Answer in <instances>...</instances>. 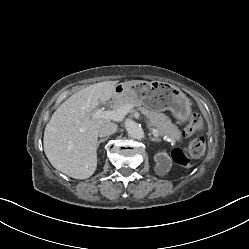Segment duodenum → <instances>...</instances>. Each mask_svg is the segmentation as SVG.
<instances>
[{"label": "duodenum", "mask_w": 249, "mask_h": 249, "mask_svg": "<svg viewBox=\"0 0 249 249\" xmlns=\"http://www.w3.org/2000/svg\"><path fill=\"white\" fill-rule=\"evenodd\" d=\"M116 94H119V93H116V92H115V89H114V90L112 91V96H113V95H116Z\"/></svg>", "instance_id": "duodenum-1"}]
</instances>
